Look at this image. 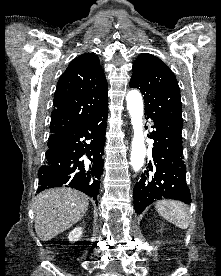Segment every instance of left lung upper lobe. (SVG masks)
Instances as JSON below:
<instances>
[{"label": "left lung upper lobe", "mask_w": 221, "mask_h": 276, "mask_svg": "<svg viewBox=\"0 0 221 276\" xmlns=\"http://www.w3.org/2000/svg\"><path fill=\"white\" fill-rule=\"evenodd\" d=\"M131 88L144 95L145 114L156 124L182 133V103L176 77L170 68L151 54H141L132 68Z\"/></svg>", "instance_id": "obj_1"}]
</instances>
